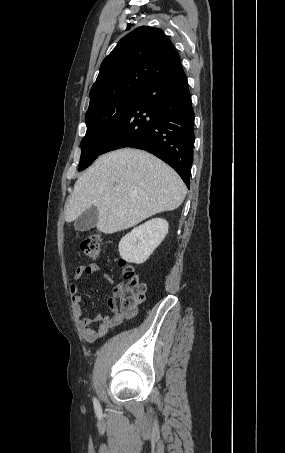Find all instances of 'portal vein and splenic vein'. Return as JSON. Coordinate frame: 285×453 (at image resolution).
Listing matches in <instances>:
<instances>
[{
    "mask_svg": "<svg viewBox=\"0 0 285 453\" xmlns=\"http://www.w3.org/2000/svg\"><path fill=\"white\" fill-rule=\"evenodd\" d=\"M114 190H115V191H117V190H118V188H114Z\"/></svg>",
    "mask_w": 285,
    "mask_h": 453,
    "instance_id": "portal-vein-and-splenic-vein-1",
    "label": "portal vein and splenic vein"
}]
</instances>
